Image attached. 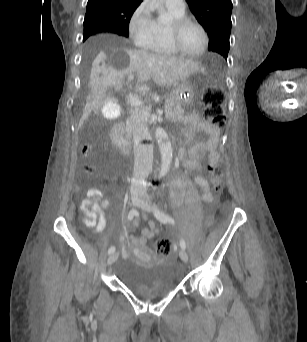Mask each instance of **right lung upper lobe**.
<instances>
[{
    "label": "right lung upper lobe",
    "instance_id": "cb5924a9",
    "mask_svg": "<svg viewBox=\"0 0 307 342\" xmlns=\"http://www.w3.org/2000/svg\"><path fill=\"white\" fill-rule=\"evenodd\" d=\"M143 0H88L86 15L111 30L128 31L130 18Z\"/></svg>",
    "mask_w": 307,
    "mask_h": 342
}]
</instances>
